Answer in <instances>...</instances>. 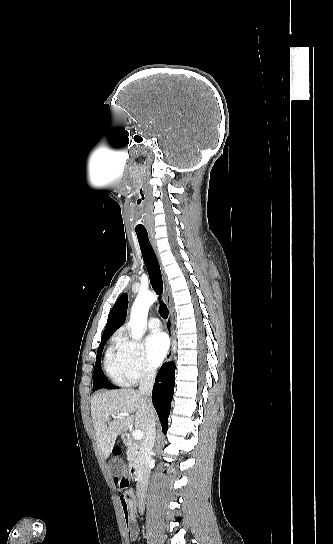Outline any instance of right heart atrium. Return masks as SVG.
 <instances>
[{
    "mask_svg": "<svg viewBox=\"0 0 333 544\" xmlns=\"http://www.w3.org/2000/svg\"><path fill=\"white\" fill-rule=\"evenodd\" d=\"M116 342L119 363L126 383L136 384L155 376L154 368L147 361L142 346L137 341L119 334Z\"/></svg>",
    "mask_w": 333,
    "mask_h": 544,
    "instance_id": "1",
    "label": "right heart atrium"
}]
</instances>
